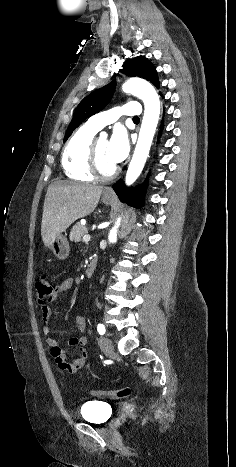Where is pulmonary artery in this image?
I'll use <instances>...</instances> for the list:
<instances>
[{
    "label": "pulmonary artery",
    "mask_w": 236,
    "mask_h": 467,
    "mask_svg": "<svg viewBox=\"0 0 236 467\" xmlns=\"http://www.w3.org/2000/svg\"><path fill=\"white\" fill-rule=\"evenodd\" d=\"M140 111L141 109L137 102L126 103L93 115L88 119L86 125L99 131L104 126L116 121L121 115L135 117L140 114Z\"/></svg>",
    "instance_id": "1"
}]
</instances>
